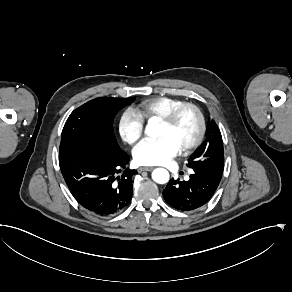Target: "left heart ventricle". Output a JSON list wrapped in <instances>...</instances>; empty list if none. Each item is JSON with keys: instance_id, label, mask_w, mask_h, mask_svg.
<instances>
[{"instance_id": "left-heart-ventricle-1", "label": "left heart ventricle", "mask_w": 292, "mask_h": 292, "mask_svg": "<svg viewBox=\"0 0 292 292\" xmlns=\"http://www.w3.org/2000/svg\"><path fill=\"white\" fill-rule=\"evenodd\" d=\"M197 117L192 110H184L173 125L160 122L159 136L173 138L181 147L190 142L197 131Z\"/></svg>"}]
</instances>
